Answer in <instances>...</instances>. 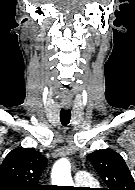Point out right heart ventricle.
Returning <instances> with one entry per match:
<instances>
[{
  "instance_id": "1",
  "label": "right heart ventricle",
  "mask_w": 135,
  "mask_h": 190,
  "mask_svg": "<svg viewBox=\"0 0 135 190\" xmlns=\"http://www.w3.org/2000/svg\"><path fill=\"white\" fill-rule=\"evenodd\" d=\"M92 185H96V183L95 182H93V184Z\"/></svg>"
}]
</instances>
